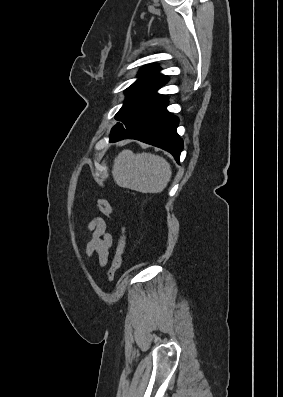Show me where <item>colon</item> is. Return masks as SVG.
Segmentation results:
<instances>
[{"label":"colon","mask_w":283,"mask_h":397,"mask_svg":"<svg viewBox=\"0 0 283 397\" xmlns=\"http://www.w3.org/2000/svg\"><path fill=\"white\" fill-rule=\"evenodd\" d=\"M98 208L99 210L108 218H110L113 222H115L119 229V240L116 247V252L114 258L112 260L111 266L106 274V278L108 281H112L117 272L119 271L122 265V256L125 249L126 243V230L125 228L119 223L117 218L113 214V209L108 200L101 198L98 200Z\"/></svg>","instance_id":"1"}]
</instances>
